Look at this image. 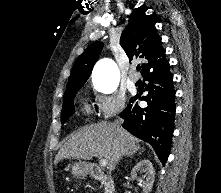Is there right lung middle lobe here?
<instances>
[{
  "instance_id": "1",
  "label": "right lung middle lobe",
  "mask_w": 221,
  "mask_h": 193,
  "mask_svg": "<svg viewBox=\"0 0 221 193\" xmlns=\"http://www.w3.org/2000/svg\"><path fill=\"white\" fill-rule=\"evenodd\" d=\"M82 87V85H75L69 88H66V92L63 98V108L61 112V123H65L68 118L74 113V98L78 90Z\"/></svg>"
}]
</instances>
